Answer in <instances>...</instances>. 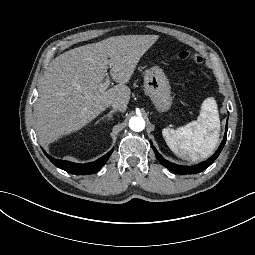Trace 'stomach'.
Returning <instances> with one entry per match:
<instances>
[{
    "label": "stomach",
    "mask_w": 255,
    "mask_h": 255,
    "mask_svg": "<svg viewBox=\"0 0 255 255\" xmlns=\"http://www.w3.org/2000/svg\"><path fill=\"white\" fill-rule=\"evenodd\" d=\"M144 89L159 112H166L172 105L171 87L162 69L147 70L144 75Z\"/></svg>",
    "instance_id": "stomach-1"
}]
</instances>
